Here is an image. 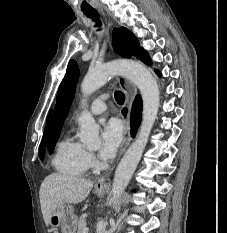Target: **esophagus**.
Segmentation results:
<instances>
[{
    "mask_svg": "<svg viewBox=\"0 0 227 233\" xmlns=\"http://www.w3.org/2000/svg\"><path fill=\"white\" fill-rule=\"evenodd\" d=\"M118 82H119L120 87L125 93V102L120 110V115L122 117L123 124H124L123 140H122V144H121L120 151H119V156H121L126 150V148L129 146L131 139H132L131 133H130V111L132 107V102L137 94V88L132 82H130L128 79H126L123 76L118 78ZM113 169H114V166L110 169L108 173L101 176L97 180L96 182L97 187H103L109 183V176L111 172L113 171Z\"/></svg>",
    "mask_w": 227,
    "mask_h": 233,
    "instance_id": "obj_1",
    "label": "esophagus"
}]
</instances>
